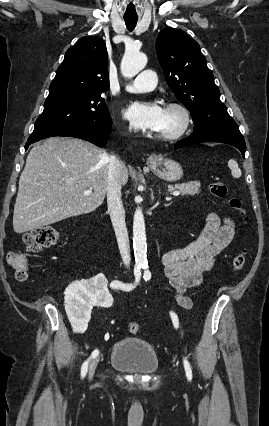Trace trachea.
I'll return each mask as SVG.
<instances>
[{"label": "trachea", "instance_id": "obj_1", "mask_svg": "<svg viewBox=\"0 0 269 426\" xmlns=\"http://www.w3.org/2000/svg\"><path fill=\"white\" fill-rule=\"evenodd\" d=\"M124 20H125V24H126L127 29L129 31H133L134 28L136 27L138 18H128V17H125Z\"/></svg>", "mask_w": 269, "mask_h": 426}]
</instances>
